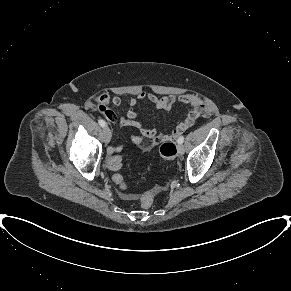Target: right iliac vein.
<instances>
[{"label":"right iliac vein","mask_w":291,"mask_h":291,"mask_svg":"<svg viewBox=\"0 0 291 291\" xmlns=\"http://www.w3.org/2000/svg\"><path fill=\"white\" fill-rule=\"evenodd\" d=\"M104 141L108 143L111 139V130L105 126L103 129Z\"/></svg>","instance_id":"obj_1"}]
</instances>
